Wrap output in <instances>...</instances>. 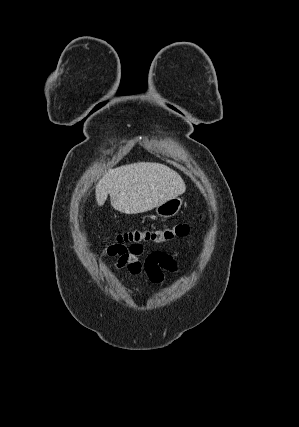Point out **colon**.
Listing matches in <instances>:
<instances>
[{"instance_id":"colon-1","label":"colon","mask_w":299,"mask_h":427,"mask_svg":"<svg viewBox=\"0 0 299 427\" xmlns=\"http://www.w3.org/2000/svg\"><path fill=\"white\" fill-rule=\"evenodd\" d=\"M189 233L190 225L188 223H175L152 229H132L120 234L117 237V242L108 248L107 253L115 256V254L126 250L125 244L163 243L186 237Z\"/></svg>"}]
</instances>
